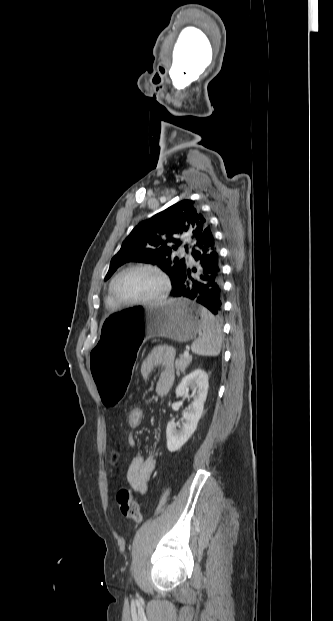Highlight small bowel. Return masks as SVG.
I'll return each instance as SVG.
<instances>
[{
    "label": "small bowel",
    "mask_w": 333,
    "mask_h": 621,
    "mask_svg": "<svg viewBox=\"0 0 333 621\" xmlns=\"http://www.w3.org/2000/svg\"><path fill=\"white\" fill-rule=\"evenodd\" d=\"M174 357L175 352L170 348L156 347L144 359L141 366V373L144 378H148L154 369L161 368L157 383L156 394L163 396L167 394L174 382ZM132 444V439L130 440ZM156 460L153 455H136L128 469L127 480L136 492L144 494L147 490L148 482L154 472Z\"/></svg>",
    "instance_id": "1"
}]
</instances>
